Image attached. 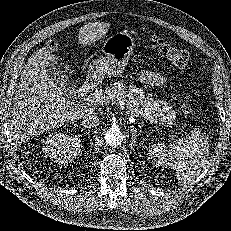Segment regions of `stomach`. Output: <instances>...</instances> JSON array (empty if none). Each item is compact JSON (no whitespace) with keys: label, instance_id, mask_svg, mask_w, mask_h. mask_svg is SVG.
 <instances>
[{"label":"stomach","instance_id":"obj_1","mask_svg":"<svg viewBox=\"0 0 231 231\" xmlns=\"http://www.w3.org/2000/svg\"><path fill=\"white\" fill-rule=\"evenodd\" d=\"M135 41L127 32H118L111 35L102 47L104 57L95 59L89 65L88 78L102 81L108 76H121L133 53Z\"/></svg>","mask_w":231,"mask_h":231}]
</instances>
